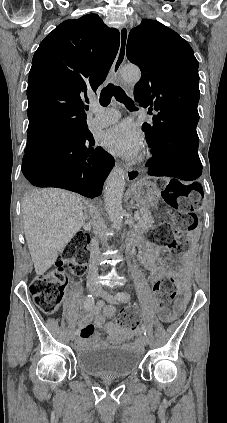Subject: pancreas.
<instances>
[{
	"label": "pancreas",
	"mask_w": 227,
	"mask_h": 423,
	"mask_svg": "<svg viewBox=\"0 0 227 423\" xmlns=\"http://www.w3.org/2000/svg\"><path fill=\"white\" fill-rule=\"evenodd\" d=\"M151 206H140V219H138L137 223L139 227H142V229H147L149 225H152L154 219L151 215L150 211Z\"/></svg>",
	"instance_id": "cf45deb5"
}]
</instances>
